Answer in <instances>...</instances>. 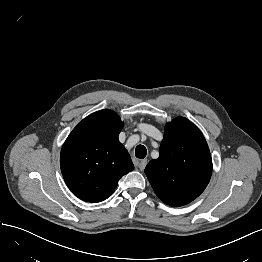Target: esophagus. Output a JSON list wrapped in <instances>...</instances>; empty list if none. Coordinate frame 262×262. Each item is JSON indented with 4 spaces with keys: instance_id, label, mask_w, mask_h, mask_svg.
<instances>
[{
    "instance_id": "esophagus-1",
    "label": "esophagus",
    "mask_w": 262,
    "mask_h": 262,
    "mask_svg": "<svg viewBox=\"0 0 262 262\" xmlns=\"http://www.w3.org/2000/svg\"><path fill=\"white\" fill-rule=\"evenodd\" d=\"M146 165H147V160H140V161H138V163H137V167H138L141 171H143V170L145 169Z\"/></svg>"
}]
</instances>
